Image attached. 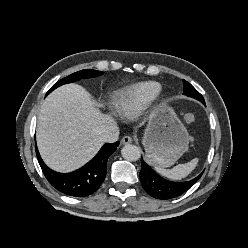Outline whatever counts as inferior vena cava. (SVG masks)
<instances>
[{"label": "inferior vena cava", "mask_w": 248, "mask_h": 248, "mask_svg": "<svg viewBox=\"0 0 248 248\" xmlns=\"http://www.w3.org/2000/svg\"><path fill=\"white\" fill-rule=\"evenodd\" d=\"M118 137H119V130L113 129V130L107 131L102 136V141L107 142V143H114L118 140Z\"/></svg>", "instance_id": "602c4592"}]
</instances>
